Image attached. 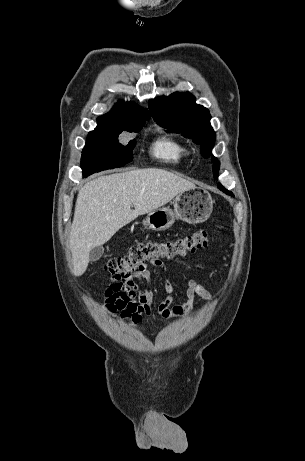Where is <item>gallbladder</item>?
<instances>
[{
  "label": "gallbladder",
  "mask_w": 305,
  "mask_h": 461,
  "mask_svg": "<svg viewBox=\"0 0 305 461\" xmlns=\"http://www.w3.org/2000/svg\"><path fill=\"white\" fill-rule=\"evenodd\" d=\"M104 253V248L102 246H97L90 251L89 259L94 262L99 260Z\"/></svg>",
  "instance_id": "gallbladder-1"
}]
</instances>
